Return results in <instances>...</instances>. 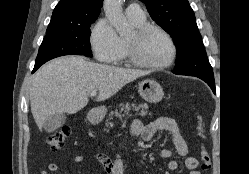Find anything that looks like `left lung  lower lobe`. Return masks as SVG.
Segmentation results:
<instances>
[{
    "mask_svg": "<svg viewBox=\"0 0 249 174\" xmlns=\"http://www.w3.org/2000/svg\"><path fill=\"white\" fill-rule=\"evenodd\" d=\"M203 81H205L212 89L213 93L216 94V88H215V83H214V77H204V76H196Z\"/></svg>",
    "mask_w": 249,
    "mask_h": 174,
    "instance_id": "obj_1",
    "label": "left lung lower lobe"
}]
</instances>
